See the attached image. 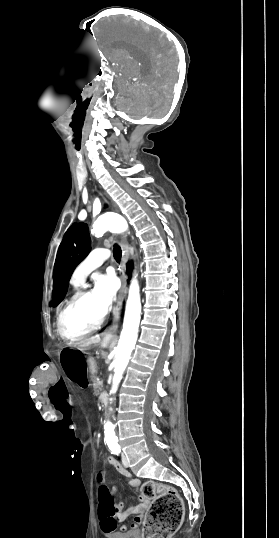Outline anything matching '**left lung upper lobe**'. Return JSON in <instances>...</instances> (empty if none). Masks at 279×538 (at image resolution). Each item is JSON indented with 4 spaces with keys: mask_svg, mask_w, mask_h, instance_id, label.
<instances>
[{
    "mask_svg": "<svg viewBox=\"0 0 279 538\" xmlns=\"http://www.w3.org/2000/svg\"><path fill=\"white\" fill-rule=\"evenodd\" d=\"M90 249L88 226L84 223L72 224L65 233L57 253L50 306L55 307L63 300L73 270L88 255Z\"/></svg>",
    "mask_w": 279,
    "mask_h": 538,
    "instance_id": "obj_1",
    "label": "left lung upper lobe"
}]
</instances>
